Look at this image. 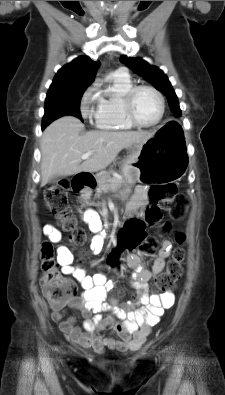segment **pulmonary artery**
<instances>
[{
  "label": "pulmonary artery",
  "mask_w": 225,
  "mask_h": 395,
  "mask_svg": "<svg viewBox=\"0 0 225 395\" xmlns=\"http://www.w3.org/2000/svg\"><path fill=\"white\" fill-rule=\"evenodd\" d=\"M117 72H119V73H121V74H127L125 68H120Z\"/></svg>",
  "instance_id": "obj_1"
}]
</instances>
